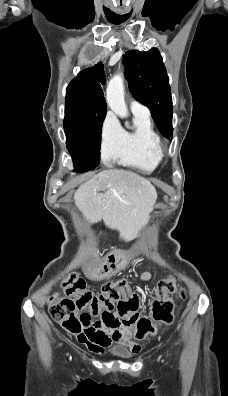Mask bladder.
I'll return each mask as SVG.
<instances>
[{
  "label": "bladder",
  "mask_w": 228,
  "mask_h": 396,
  "mask_svg": "<svg viewBox=\"0 0 228 396\" xmlns=\"http://www.w3.org/2000/svg\"><path fill=\"white\" fill-rule=\"evenodd\" d=\"M111 354L120 358H131L134 351L124 346H116L111 349Z\"/></svg>",
  "instance_id": "1"
}]
</instances>
